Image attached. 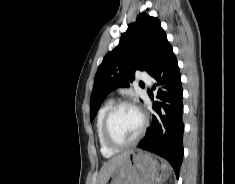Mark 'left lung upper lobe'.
<instances>
[{"label":"left lung upper lobe","mask_w":235,"mask_h":184,"mask_svg":"<svg viewBox=\"0 0 235 184\" xmlns=\"http://www.w3.org/2000/svg\"><path fill=\"white\" fill-rule=\"evenodd\" d=\"M165 39L159 19L146 13L137 16L136 22L122 35L119 45L106 54L98 67L90 99L91 121L110 91L129 86L136 70L151 71L158 48Z\"/></svg>","instance_id":"obj_1"}]
</instances>
